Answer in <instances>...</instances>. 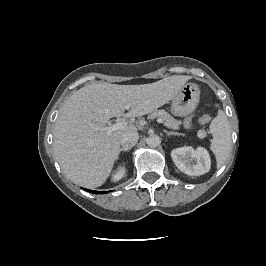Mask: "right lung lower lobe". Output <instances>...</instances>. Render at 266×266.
<instances>
[{
	"mask_svg": "<svg viewBox=\"0 0 266 266\" xmlns=\"http://www.w3.org/2000/svg\"><path fill=\"white\" fill-rule=\"evenodd\" d=\"M84 190L89 191V192H91V193H95V194H98V193H100V194L106 193V192H104V191L98 192V191L87 190V189H84Z\"/></svg>",
	"mask_w": 266,
	"mask_h": 266,
	"instance_id": "right-lung-lower-lobe-1",
	"label": "right lung lower lobe"
}]
</instances>
